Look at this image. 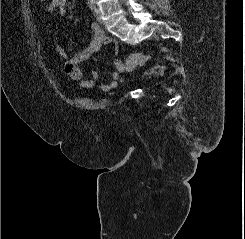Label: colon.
<instances>
[{
  "mask_svg": "<svg viewBox=\"0 0 245 239\" xmlns=\"http://www.w3.org/2000/svg\"><path fill=\"white\" fill-rule=\"evenodd\" d=\"M149 56L145 54H134L131 55L126 61V67L128 70L141 66L149 60Z\"/></svg>",
  "mask_w": 245,
  "mask_h": 239,
  "instance_id": "obj_1",
  "label": "colon"
}]
</instances>
